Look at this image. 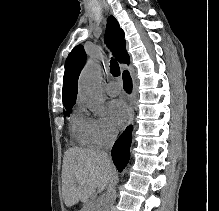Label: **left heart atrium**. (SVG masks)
<instances>
[{"instance_id":"39dd6f15","label":"left heart atrium","mask_w":219,"mask_h":211,"mask_svg":"<svg viewBox=\"0 0 219 211\" xmlns=\"http://www.w3.org/2000/svg\"><path fill=\"white\" fill-rule=\"evenodd\" d=\"M109 115L112 123L116 126H122L128 119V108L125 102L121 99H113L110 101Z\"/></svg>"}]
</instances>
